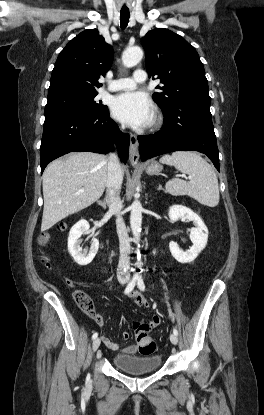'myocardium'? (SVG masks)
Segmentation results:
<instances>
[{
	"label": "myocardium",
	"instance_id": "1",
	"mask_svg": "<svg viewBox=\"0 0 264 415\" xmlns=\"http://www.w3.org/2000/svg\"><path fill=\"white\" fill-rule=\"evenodd\" d=\"M161 124V116L157 112L154 114L151 122H150V128H157Z\"/></svg>",
	"mask_w": 264,
	"mask_h": 415
}]
</instances>
